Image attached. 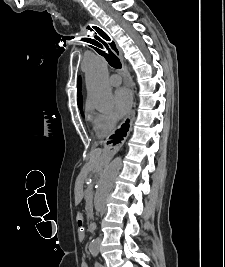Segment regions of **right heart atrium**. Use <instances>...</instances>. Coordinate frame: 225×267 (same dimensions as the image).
Masks as SVG:
<instances>
[{
  "label": "right heart atrium",
  "instance_id": "1",
  "mask_svg": "<svg viewBox=\"0 0 225 267\" xmlns=\"http://www.w3.org/2000/svg\"><path fill=\"white\" fill-rule=\"evenodd\" d=\"M92 124L98 135H109L117 126V119L111 112H92Z\"/></svg>",
  "mask_w": 225,
  "mask_h": 267
}]
</instances>
